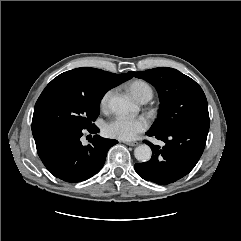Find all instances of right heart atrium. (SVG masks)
<instances>
[{"mask_svg": "<svg viewBox=\"0 0 241 241\" xmlns=\"http://www.w3.org/2000/svg\"><path fill=\"white\" fill-rule=\"evenodd\" d=\"M114 94V90L113 89H110V90H107L101 97L100 99V108L103 110V111H106L108 108H109V104H110V100L112 98Z\"/></svg>", "mask_w": 241, "mask_h": 241, "instance_id": "d8ad5b80", "label": "right heart atrium"}]
</instances>
